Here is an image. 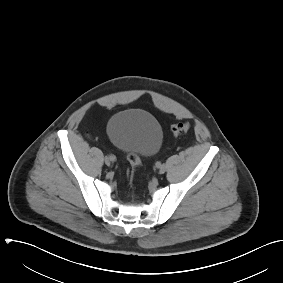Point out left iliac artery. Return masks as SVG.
I'll return each instance as SVG.
<instances>
[{
	"label": "left iliac artery",
	"instance_id": "obj_1",
	"mask_svg": "<svg viewBox=\"0 0 283 283\" xmlns=\"http://www.w3.org/2000/svg\"><path fill=\"white\" fill-rule=\"evenodd\" d=\"M161 165H162L161 162H157V163H156V166H157V167H159V166H161Z\"/></svg>",
	"mask_w": 283,
	"mask_h": 283
}]
</instances>
